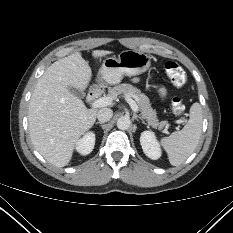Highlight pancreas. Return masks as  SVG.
Instances as JSON below:
<instances>
[{
	"instance_id": "cf45deb5",
	"label": "pancreas",
	"mask_w": 233,
	"mask_h": 233,
	"mask_svg": "<svg viewBox=\"0 0 233 233\" xmlns=\"http://www.w3.org/2000/svg\"><path fill=\"white\" fill-rule=\"evenodd\" d=\"M121 94L133 97L136 100L142 118L146 119L149 125H151L154 128H163L164 126L167 128L169 126L167 121L159 122V120L156 117V111L152 109L149 99L146 97L144 93L140 91V89H137L135 86L131 84L124 83L110 88L108 95L113 99H116Z\"/></svg>"
}]
</instances>
